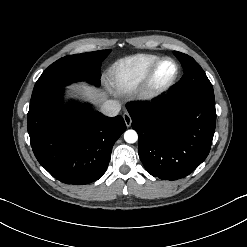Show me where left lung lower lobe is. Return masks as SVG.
I'll list each match as a JSON object with an SVG mask.
<instances>
[{
    "label": "left lung lower lobe",
    "mask_w": 247,
    "mask_h": 247,
    "mask_svg": "<svg viewBox=\"0 0 247 247\" xmlns=\"http://www.w3.org/2000/svg\"><path fill=\"white\" fill-rule=\"evenodd\" d=\"M138 132L145 169L162 180H178L208 156L216 123L214 93H169L152 105H128Z\"/></svg>",
    "instance_id": "1"
}]
</instances>
